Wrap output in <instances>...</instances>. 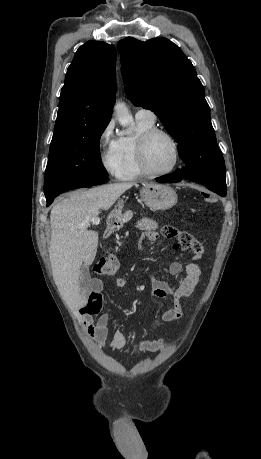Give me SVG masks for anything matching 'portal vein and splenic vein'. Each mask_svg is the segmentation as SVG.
Listing matches in <instances>:
<instances>
[{"label":"portal vein and splenic vein","instance_id":"portal-vein-and-splenic-vein-1","mask_svg":"<svg viewBox=\"0 0 261 459\" xmlns=\"http://www.w3.org/2000/svg\"><path fill=\"white\" fill-rule=\"evenodd\" d=\"M90 222L94 225H99L100 224V218L97 216H94L90 219Z\"/></svg>","mask_w":261,"mask_h":459}]
</instances>
